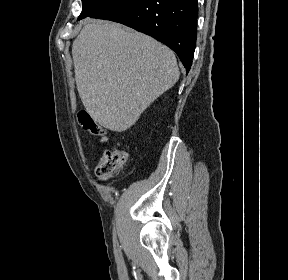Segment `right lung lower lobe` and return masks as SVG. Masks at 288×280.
<instances>
[{
	"label": "right lung lower lobe",
	"mask_w": 288,
	"mask_h": 280,
	"mask_svg": "<svg viewBox=\"0 0 288 280\" xmlns=\"http://www.w3.org/2000/svg\"><path fill=\"white\" fill-rule=\"evenodd\" d=\"M197 0H111L90 17L125 24L161 41L180 58L187 73L197 37Z\"/></svg>",
	"instance_id": "1"
}]
</instances>
